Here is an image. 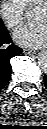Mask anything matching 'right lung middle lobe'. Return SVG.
<instances>
[{"instance_id":"obj_1","label":"right lung middle lobe","mask_w":47,"mask_h":129,"mask_svg":"<svg viewBox=\"0 0 47 129\" xmlns=\"http://www.w3.org/2000/svg\"><path fill=\"white\" fill-rule=\"evenodd\" d=\"M3 24V22L0 20V25H2Z\"/></svg>"}]
</instances>
